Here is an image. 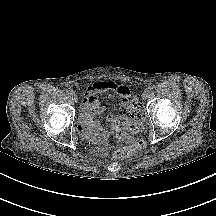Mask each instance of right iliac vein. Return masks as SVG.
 Here are the masks:
<instances>
[{
  "label": "right iliac vein",
  "instance_id": "right-iliac-vein-1",
  "mask_svg": "<svg viewBox=\"0 0 216 216\" xmlns=\"http://www.w3.org/2000/svg\"><path fill=\"white\" fill-rule=\"evenodd\" d=\"M71 98H72V100H73L74 102H77V101H78V96H77L75 93H73V94L71 95Z\"/></svg>",
  "mask_w": 216,
  "mask_h": 216
}]
</instances>
